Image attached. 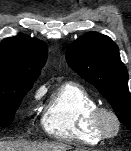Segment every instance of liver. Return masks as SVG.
<instances>
[{"label":"liver","instance_id":"liver-1","mask_svg":"<svg viewBox=\"0 0 131 151\" xmlns=\"http://www.w3.org/2000/svg\"><path fill=\"white\" fill-rule=\"evenodd\" d=\"M71 147L62 143L0 142V151H69Z\"/></svg>","mask_w":131,"mask_h":151}]
</instances>
